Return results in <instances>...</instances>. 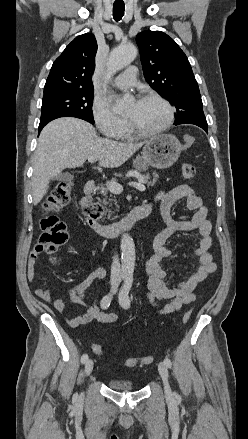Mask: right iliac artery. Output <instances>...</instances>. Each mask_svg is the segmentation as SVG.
Segmentation results:
<instances>
[{
	"instance_id": "82829eb1",
	"label": "right iliac artery",
	"mask_w": 248,
	"mask_h": 439,
	"mask_svg": "<svg viewBox=\"0 0 248 439\" xmlns=\"http://www.w3.org/2000/svg\"><path fill=\"white\" fill-rule=\"evenodd\" d=\"M121 278H124V276L122 275ZM113 298V294L109 293L106 296L103 297V299L101 300V308L102 309H107L110 306L111 300ZM88 360V355L87 354H83L81 357V362L84 364L86 363Z\"/></svg>"
}]
</instances>
